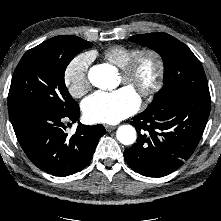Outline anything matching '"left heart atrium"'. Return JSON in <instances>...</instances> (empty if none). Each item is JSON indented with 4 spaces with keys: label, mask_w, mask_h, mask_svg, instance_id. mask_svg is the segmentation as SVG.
I'll use <instances>...</instances> for the list:
<instances>
[{
    "label": "left heart atrium",
    "mask_w": 221,
    "mask_h": 221,
    "mask_svg": "<svg viewBox=\"0 0 221 221\" xmlns=\"http://www.w3.org/2000/svg\"><path fill=\"white\" fill-rule=\"evenodd\" d=\"M139 105V95L123 86L112 92H94L83 101L82 110L90 122L114 124L136 112Z\"/></svg>",
    "instance_id": "obj_1"
}]
</instances>
